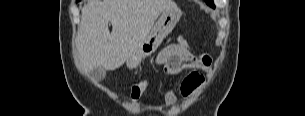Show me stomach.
Instances as JSON below:
<instances>
[{
    "label": "stomach",
    "instance_id": "1",
    "mask_svg": "<svg viewBox=\"0 0 305 116\" xmlns=\"http://www.w3.org/2000/svg\"><path fill=\"white\" fill-rule=\"evenodd\" d=\"M181 16L182 11L178 7L165 10L140 47L127 59V67L129 69L138 67L143 59L154 53L162 41L172 32Z\"/></svg>",
    "mask_w": 305,
    "mask_h": 116
}]
</instances>
